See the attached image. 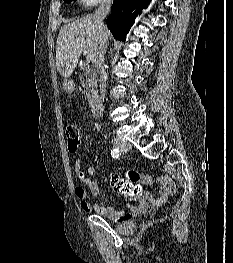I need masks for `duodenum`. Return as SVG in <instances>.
Segmentation results:
<instances>
[{
	"instance_id": "1",
	"label": "duodenum",
	"mask_w": 233,
	"mask_h": 263,
	"mask_svg": "<svg viewBox=\"0 0 233 263\" xmlns=\"http://www.w3.org/2000/svg\"><path fill=\"white\" fill-rule=\"evenodd\" d=\"M99 85L97 82H90L89 85H87V94L86 97L89 98L91 110L94 115L100 116L103 113V106L101 103H103V98H101L99 94Z\"/></svg>"
}]
</instances>
